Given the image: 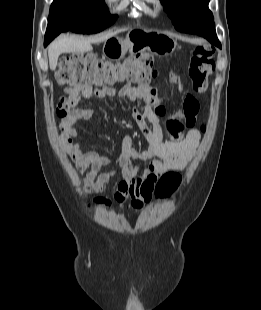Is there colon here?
Listing matches in <instances>:
<instances>
[{
  "mask_svg": "<svg viewBox=\"0 0 261 310\" xmlns=\"http://www.w3.org/2000/svg\"><path fill=\"white\" fill-rule=\"evenodd\" d=\"M152 66L153 60L147 54L129 56L114 63L92 54L74 53L61 59L56 80L58 85L63 87L82 84L97 89L113 88L119 84H144L155 77ZM214 67V50L211 47L202 45L192 51L188 74L196 92L206 89L207 79ZM72 106L70 97H62L57 105L58 116L65 118ZM180 181V175L176 172L164 174L158 183V194L164 195L173 191ZM96 201L109 204L104 198H97Z\"/></svg>",
  "mask_w": 261,
  "mask_h": 310,
  "instance_id": "5ec220e1",
  "label": "colon"
}]
</instances>
